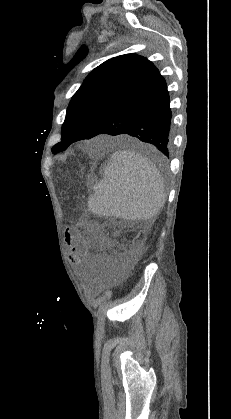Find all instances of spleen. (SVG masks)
<instances>
[{"label":"spleen","mask_w":231,"mask_h":419,"mask_svg":"<svg viewBox=\"0 0 231 419\" xmlns=\"http://www.w3.org/2000/svg\"><path fill=\"white\" fill-rule=\"evenodd\" d=\"M88 208L97 215L151 220L165 201V184L156 166L129 150L114 152L103 179L94 185Z\"/></svg>","instance_id":"spleen-1"}]
</instances>
